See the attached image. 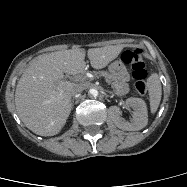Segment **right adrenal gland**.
<instances>
[{"instance_id":"obj_1","label":"right adrenal gland","mask_w":187,"mask_h":187,"mask_svg":"<svg viewBox=\"0 0 187 187\" xmlns=\"http://www.w3.org/2000/svg\"><path fill=\"white\" fill-rule=\"evenodd\" d=\"M73 106H74V101L72 100V102H71V108H73Z\"/></svg>"}]
</instances>
